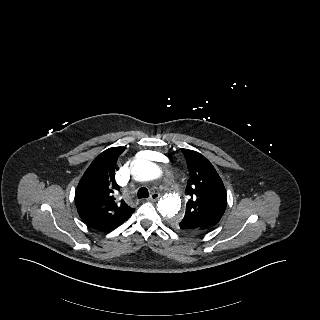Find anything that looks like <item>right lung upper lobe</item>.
Listing matches in <instances>:
<instances>
[{"mask_svg": "<svg viewBox=\"0 0 320 320\" xmlns=\"http://www.w3.org/2000/svg\"><path fill=\"white\" fill-rule=\"evenodd\" d=\"M124 147H112L98 155L82 176L75 192L81 219L98 231H112L135 211L117 197L115 166Z\"/></svg>", "mask_w": 320, "mask_h": 320, "instance_id": "right-lung-upper-lobe-1", "label": "right lung upper lobe"}]
</instances>
